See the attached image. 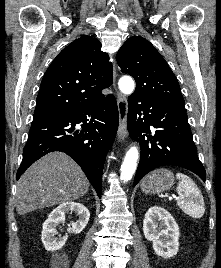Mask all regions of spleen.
<instances>
[{"label":"spleen","instance_id":"obj_1","mask_svg":"<svg viewBox=\"0 0 221 268\" xmlns=\"http://www.w3.org/2000/svg\"><path fill=\"white\" fill-rule=\"evenodd\" d=\"M179 180L176 191L179 195L177 205L193 218H200L204 215V199L201 191L194 181L183 173H177Z\"/></svg>","mask_w":221,"mask_h":268}]
</instances>
